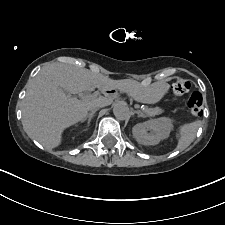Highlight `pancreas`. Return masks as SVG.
Masks as SVG:
<instances>
[{"instance_id":"pancreas-1","label":"pancreas","mask_w":225,"mask_h":225,"mask_svg":"<svg viewBox=\"0 0 225 225\" xmlns=\"http://www.w3.org/2000/svg\"><path fill=\"white\" fill-rule=\"evenodd\" d=\"M144 112L147 116L152 117L161 114L163 110L159 107H155V108H146Z\"/></svg>"}]
</instances>
